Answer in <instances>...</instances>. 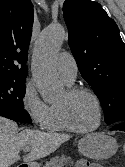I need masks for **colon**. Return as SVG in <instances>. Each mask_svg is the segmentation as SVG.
Segmentation results:
<instances>
[{"instance_id":"obj_1","label":"colon","mask_w":125,"mask_h":167,"mask_svg":"<svg viewBox=\"0 0 125 167\" xmlns=\"http://www.w3.org/2000/svg\"><path fill=\"white\" fill-rule=\"evenodd\" d=\"M123 151H124V153H125V145L123 146Z\"/></svg>"}]
</instances>
